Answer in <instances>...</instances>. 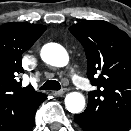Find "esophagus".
I'll return each instance as SVG.
<instances>
[{
  "label": "esophagus",
  "mask_w": 131,
  "mask_h": 131,
  "mask_svg": "<svg viewBox=\"0 0 131 131\" xmlns=\"http://www.w3.org/2000/svg\"><path fill=\"white\" fill-rule=\"evenodd\" d=\"M65 93V89L59 90V91H53L52 94L54 96H62Z\"/></svg>",
  "instance_id": "34e87169"
}]
</instances>
